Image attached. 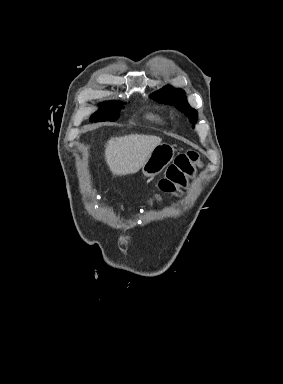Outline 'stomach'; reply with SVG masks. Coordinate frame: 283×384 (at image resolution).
I'll return each mask as SVG.
<instances>
[{
    "mask_svg": "<svg viewBox=\"0 0 283 384\" xmlns=\"http://www.w3.org/2000/svg\"><path fill=\"white\" fill-rule=\"evenodd\" d=\"M175 150L170 144H158L149 154L144 166H142V174L146 178H154L160 174L174 158Z\"/></svg>",
    "mask_w": 283,
    "mask_h": 384,
    "instance_id": "obj_1",
    "label": "stomach"
}]
</instances>
